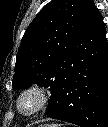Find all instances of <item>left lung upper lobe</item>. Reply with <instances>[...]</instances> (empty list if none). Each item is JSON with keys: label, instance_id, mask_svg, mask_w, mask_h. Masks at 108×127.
<instances>
[{"label": "left lung upper lobe", "instance_id": "obj_1", "mask_svg": "<svg viewBox=\"0 0 108 127\" xmlns=\"http://www.w3.org/2000/svg\"><path fill=\"white\" fill-rule=\"evenodd\" d=\"M90 0H53L27 28L18 50L13 86L50 87L54 99L65 61L77 37Z\"/></svg>", "mask_w": 108, "mask_h": 127}]
</instances>
